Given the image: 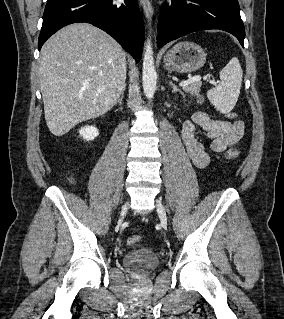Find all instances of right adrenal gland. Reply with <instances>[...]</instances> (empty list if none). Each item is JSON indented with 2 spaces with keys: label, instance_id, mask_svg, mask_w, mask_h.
I'll return each instance as SVG.
<instances>
[{
  "label": "right adrenal gland",
  "instance_id": "2a0ac1e0",
  "mask_svg": "<svg viewBox=\"0 0 284 319\" xmlns=\"http://www.w3.org/2000/svg\"><path fill=\"white\" fill-rule=\"evenodd\" d=\"M125 88H126V84L124 85L123 89H122V92L120 94V98L118 99L117 103H119V105H122V100L124 98V91H125Z\"/></svg>",
  "mask_w": 284,
  "mask_h": 319
}]
</instances>
